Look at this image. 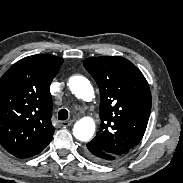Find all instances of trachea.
Segmentation results:
<instances>
[{
    "label": "trachea",
    "instance_id": "3493384b",
    "mask_svg": "<svg viewBox=\"0 0 183 183\" xmlns=\"http://www.w3.org/2000/svg\"><path fill=\"white\" fill-rule=\"evenodd\" d=\"M68 118V111L66 109H61L58 112V119L59 120H66Z\"/></svg>",
    "mask_w": 183,
    "mask_h": 183
}]
</instances>
